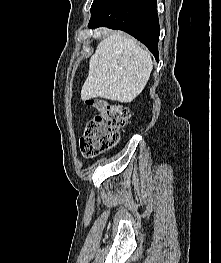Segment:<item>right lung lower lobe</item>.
I'll use <instances>...</instances> for the list:
<instances>
[{
  "instance_id": "obj_1",
  "label": "right lung lower lobe",
  "mask_w": 221,
  "mask_h": 263,
  "mask_svg": "<svg viewBox=\"0 0 221 263\" xmlns=\"http://www.w3.org/2000/svg\"><path fill=\"white\" fill-rule=\"evenodd\" d=\"M156 6L157 0H111L90 19L88 27L123 30L147 46L158 61L160 26Z\"/></svg>"
}]
</instances>
